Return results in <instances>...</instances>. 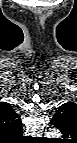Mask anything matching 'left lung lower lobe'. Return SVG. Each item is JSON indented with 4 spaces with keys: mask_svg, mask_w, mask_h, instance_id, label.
I'll return each mask as SVG.
<instances>
[{
    "mask_svg": "<svg viewBox=\"0 0 77 143\" xmlns=\"http://www.w3.org/2000/svg\"><path fill=\"white\" fill-rule=\"evenodd\" d=\"M76 110V106L72 103H65L60 106L51 120V124L61 126L63 124L71 125Z\"/></svg>",
    "mask_w": 77,
    "mask_h": 143,
    "instance_id": "0a47b994",
    "label": "left lung lower lobe"
}]
</instances>
